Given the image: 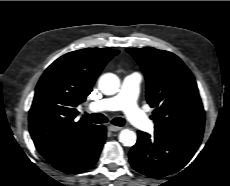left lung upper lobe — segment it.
<instances>
[{"mask_svg":"<svg viewBox=\"0 0 230 186\" xmlns=\"http://www.w3.org/2000/svg\"><path fill=\"white\" fill-rule=\"evenodd\" d=\"M147 83L146 98L154 107L155 131L201 140L205 112L195 78L175 54L155 48H128Z\"/></svg>","mask_w":230,"mask_h":186,"instance_id":"obj_1","label":"left lung upper lobe"}]
</instances>
